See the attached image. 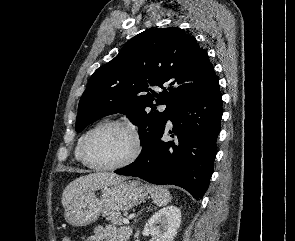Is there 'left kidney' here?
Returning <instances> with one entry per match:
<instances>
[{
    "instance_id": "left-kidney-1",
    "label": "left kidney",
    "mask_w": 295,
    "mask_h": 241,
    "mask_svg": "<svg viewBox=\"0 0 295 241\" xmlns=\"http://www.w3.org/2000/svg\"><path fill=\"white\" fill-rule=\"evenodd\" d=\"M181 224V211L176 206L164 207L147 221L142 234L151 235L154 241H173Z\"/></svg>"
}]
</instances>
